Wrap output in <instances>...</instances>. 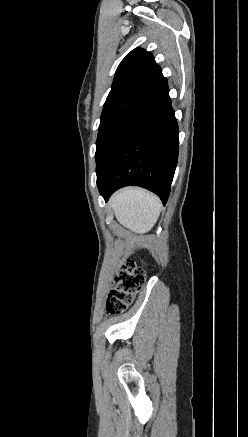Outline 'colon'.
Wrapping results in <instances>:
<instances>
[{
	"label": "colon",
	"mask_w": 248,
	"mask_h": 437,
	"mask_svg": "<svg viewBox=\"0 0 248 437\" xmlns=\"http://www.w3.org/2000/svg\"><path fill=\"white\" fill-rule=\"evenodd\" d=\"M145 283V272L131 263L120 266L108 295L106 309L109 315L124 312Z\"/></svg>",
	"instance_id": "colon-1"
}]
</instances>
